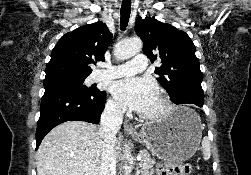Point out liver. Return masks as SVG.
I'll use <instances>...</instances> for the list:
<instances>
[{"label":"liver","mask_w":251,"mask_h":175,"mask_svg":"<svg viewBox=\"0 0 251 175\" xmlns=\"http://www.w3.org/2000/svg\"><path fill=\"white\" fill-rule=\"evenodd\" d=\"M103 137L87 121H65L51 129L36 153L37 175H100ZM114 143V155L119 157Z\"/></svg>","instance_id":"obj_1"}]
</instances>
